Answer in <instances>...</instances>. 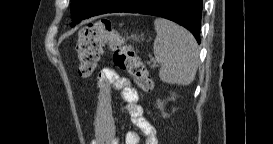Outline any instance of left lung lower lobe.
<instances>
[{"mask_svg": "<svg viewBox=\"0 0 273 144\" xmlns=\"http://www.w3.org/2000/svg\"><path fill=\"white\" fill-rule=\"evenodd\" d=\"M85 4L89 0H83ZM128 12L163 17L187 28L200 43L202 0H96L91 8L73 14L71 26L92 16Z\"/></svg>", "mask_w": 273, "mask_h": 144, "instance_id": "0a47b994", "label": "left lung lower lobe"}]
</instances>
